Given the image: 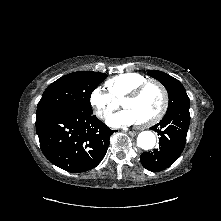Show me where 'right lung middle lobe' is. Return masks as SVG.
Returning <instances> with one entry per match:
<instances>
[{"label": "right lung middle lobe", "mask_w": 221, "mask_h": 221, "mask_svg": "<svg viewBox=\"0 0 221 221\" xmlns=\"http://www.w3.org/2000/svg\"><path fill=\"white\" fill-rule=\"evenodd\" d=\"M106 77L105 73L78 71L59 78L44 91L37 105L36 118L66 108L92 113L90 96Z\"/></svg>", "instance_id": "dd1d6c3e"}]
</instances>
